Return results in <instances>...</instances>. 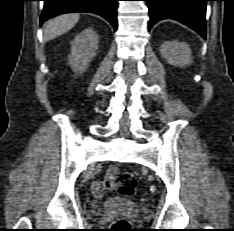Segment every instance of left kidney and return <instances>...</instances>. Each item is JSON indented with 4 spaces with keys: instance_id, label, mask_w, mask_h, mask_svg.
<instances>
[{
    "instance_id": "left-kidney-1",
    "label": "left kidney",
    "mask_w": 234,
    "mask_h": 231,
    "mask_svg": "<svg viewBox=\"0 0 234 231\" xmlns=\"http://www.w3.org/2000/svg\"><path fill=\"white\" fill-rule=\"evenodd\" d=\"M162 57L171 65L186 66L192 63L189 45L179 41H165L160 46Z\"/></svg>"
}]
</instances>
